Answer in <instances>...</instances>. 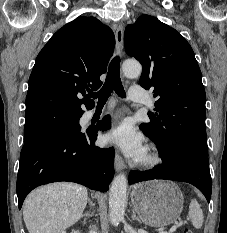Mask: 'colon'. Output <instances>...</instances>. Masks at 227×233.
<instances>
[{
	"mask_svg": "<svg viewBox=\"0 0 227 233\" xmlns=\"http://www.w3.org/2000/svg\"><path fill=\"white\" fill-rule=\"evenodd\" d=\"M183 233H194V232H193V230H191V229H185V230L183 231Z\"/></svg>",
	"mask_w": 227,
	"mask_h": 233,
	"instance_id": "5ec220e1",
	"label": "colon"
}]
</instances>
